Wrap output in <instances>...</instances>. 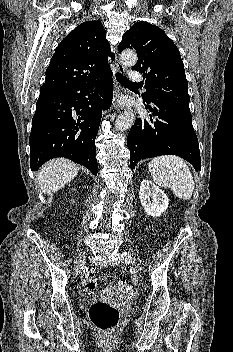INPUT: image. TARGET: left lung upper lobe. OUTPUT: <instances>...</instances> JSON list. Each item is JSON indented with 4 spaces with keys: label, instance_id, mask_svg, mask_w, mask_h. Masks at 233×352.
Here are the masks:
<instances>
[{
    "label": "left lung upper lobe",
    "instance_id": "left-lung-upper-lobe-1",
    "mask_svg": "<svg viewBox=\"0 0 233 352\" xmlns=\"http://www.w3.org/2000/svg\"><path fill=\"white\" fill-rule=\"evenodd\" d=\"M133 48L138 62L132 67L144 74L145 94L148 101L159 99L190 111L188 83L177 46L163 30L147 22L135 23L124 33L118 46L121 52Z\"/></svg>",
    "mask_w": 233,
    "mask_h": 352
}]
</instances>
